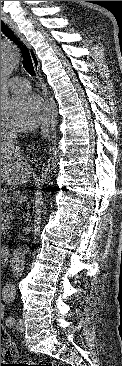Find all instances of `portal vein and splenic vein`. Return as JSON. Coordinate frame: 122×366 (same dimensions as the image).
Returning <instances> with one entry per match:
<instances>
[{"label":"portal vein and splenic vein","mask_w":122,"mask_h":366,"mask_svg":"<svg viewBox=\"0 0 122 366\" xmlns=\"http://www.w3.org/2000/svg\"><path fill=\"white\" fill-rule=\"evenodd\" d=\"M6 202H9V199H6Z\"/></svg>","instance_id":"18ae733b"}]
</instances>
